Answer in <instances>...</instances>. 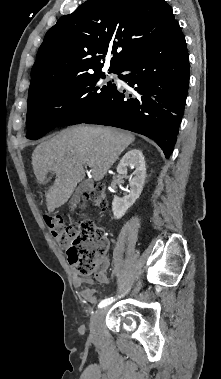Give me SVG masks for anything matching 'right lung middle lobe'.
Segmentation results:
<instances>
[{
  "instance_id": "dd1d6c3e",
  "label": "right lung middle lobe",
  "mask_w": 221,
  "mask_h": 379,
  "mask_svg": "<svg viewBox=\"0 0 221 379\" xmlns=\"http://www.w3.org/2000/svg\"><path fill=\"white\" fill-rule=\"evenodd\" d=\"M115 73L116 69H110ZM105 75L94 72L48 86L31 101L27 108L28 139H39L50 130L68 126L87 116L109 96L115 84L104 83Z\"/></svg>"
}]
</instances>
